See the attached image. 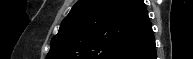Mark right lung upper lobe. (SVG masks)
Instances as JSON below:
<instances>
[{
    "mask_svg": "<svg viewBox=\"0 0 193 59\" xmlns=\"http://www.w3.org/2000/svg\"><path fill=\"white\" fill-rule=\"evenodd\" d=\"M153 35L143 0H79L46 59H122Z\"/></svg>",
    "mask_w": 193,
    "mask_h": 59,
    "instance_id": "right-lung-upper-lobe-1",
    "label": "right lung upper lobe"
}]
</instances>
